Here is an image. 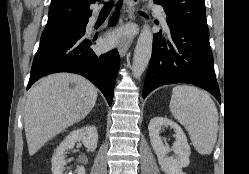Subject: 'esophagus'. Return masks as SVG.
I'll list each match as a JSON object with an SVG mask.
<instances>
[{
  "instance_id": "1",
  "label": "esophagus",
  "mask_w": 249,
  "mask_h": 174,
  "mask_svg": "<svg viewBox=\"0 0 249 174\" xmlns=\"http://www.w3.org/2000/svg\"><path fill=\"white\" fill-rule=\"evenodd\" d=\"M139 3V0H125L126 11L128 12V17L130 19L134 18V8ZM132 44L131 38H123L119 44V54L121 57L125 56L126 52Z\"/></svg>"
}]
</instances>
